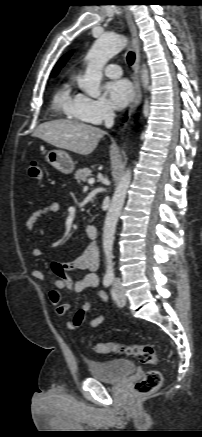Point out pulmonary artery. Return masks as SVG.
<instances>
[{
  "label": "pulmonary artery",
  "mask_w": 202,
  "mask_h": 437,
  "mask_svg": "<svg viewBox=\"0 0 202 437\" xmlns=\"http://www.w3.org/2000/svg\"><path fill=\"white\" fill-rule=\"evenodd\" d=\"M104 73L110 78H118L122 75V69L117 64H109L105 67Z\"/></svg>",
  "instance_id": "1"
}]
</instances>
